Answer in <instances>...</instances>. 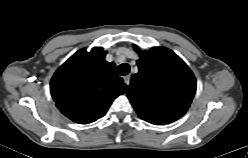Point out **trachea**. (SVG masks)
<instances>
[{
  "label": "trachea",
  "instance_id": "3493384b",
  "mask_svg": "<svg viewBox=\"0 0 248 158\" xmlns=\"http://www.w3.org/2000/svg\"><path fill=\"white\" fill-rule=\"evenodd\" d=\"M130 72V66L127 63H123L118 66V73L121 76L127 75Z\"/></svg>",
  "mask_w": 248,
  "mask_h": 158
}]
</instances>
